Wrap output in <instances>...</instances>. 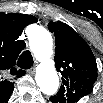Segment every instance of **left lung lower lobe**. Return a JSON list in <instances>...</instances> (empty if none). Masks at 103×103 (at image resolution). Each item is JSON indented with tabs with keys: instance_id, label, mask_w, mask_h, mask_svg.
<instances>
[{
	"instance_id": "left-lung-lower-lobe-1",
	"label": "left lung lower lobe",
	"mask_w": 103,
	"mask_h": 103,
	"mask_svg": "<svg viewBox=\"0 0 103 103\" xmlns=\"http://www.w3.org/2000/svg\"><path fill=\"white\" fill-rule=\"evenodd\" d=\"M52 98V97H51ZM50 98V99H51ZM81 97H79V96H77V95H74V97H73V100L72 101H75V100H79ZM77 102V101H76ZM75 103V102H74Z\"/></svg>"
}]
</instances>
